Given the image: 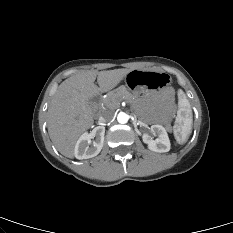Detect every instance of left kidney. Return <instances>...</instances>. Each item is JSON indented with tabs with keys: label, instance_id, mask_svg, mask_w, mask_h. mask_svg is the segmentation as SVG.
Here are the masks:
<instances>
[{
	"label": "left kidney",
	"instance_id": "1",
	"mask_svg": "<svg viewBox=\"0 0 233 233\" xmlns=\"http://www.w3.org/2000/svg\"><path fill=\"white\" fill-rule=\"evenodd\" d=\"M150 130L157 138L153 140L147 134L143 135V141L147 144L148 148L154 152H168L171 144L166 129L161 125H152Z\"/></svg>",
	"mask_w": 233,
	"mask_h": 233
}]
</instances>
